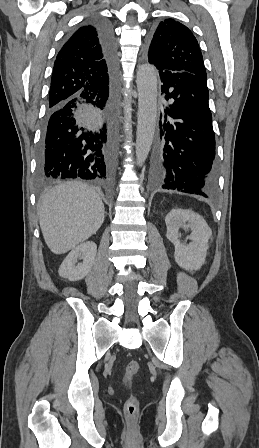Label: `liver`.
Masks as SVG:
<instances>
[{
	"instance_id": "1",
	"label": "liver",
	"mask_w": 259,
	"mask_h": 448,
	"mask_svg": "<svg viewBox=\"0 0 259 448\" xmlns=\"http://www.w3.org/2000/svg\"><path fill=\"white\" fill-rule=\"evenodd\" d=\"M104 204L82 182L58 184L40 198L43 238L53 254H65L96 234L104 222Z\"/></svg>"
}]
</instances>
